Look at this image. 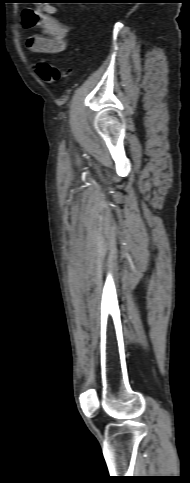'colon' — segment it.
<instances>
[{"instance_id":"obj_1","label":"colon","mask_w":190,"mask_h":483,"mask_svg":"<svg viewBox=\"0 0 190 483\" xmlns=\"http://www.w3.org/2000/svg\"><path fill=\"white\" fill-rule=\"evenodd\" d=\"M35 70L39 77L50 84L59 83L67 76V71L65 69L50 64L46 61L38 62Z\"/></svg>"}]
</instances>
